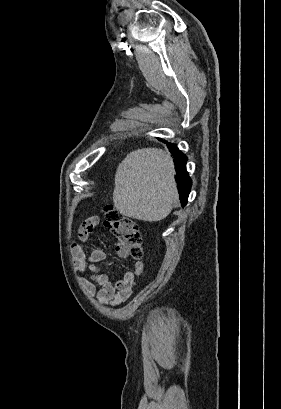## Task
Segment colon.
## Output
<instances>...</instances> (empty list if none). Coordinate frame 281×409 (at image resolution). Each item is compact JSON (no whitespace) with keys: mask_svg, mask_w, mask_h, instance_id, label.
<instances>
[{"mask_svg":"<svg viewBox=\"0 0 281 409\" xmlns=\"http://www.w3.org/2000/svg\"><path fill=\"white\" fill-rule=\"evenodd\" d=\"M104 225L112 233L116 240L130 255H143L142 234L140 227L127 216L112 207L103 208Z\"/></svg>","mask_w":281,"mask_h":409,"instance_id":"5ec220e1","label":"colon"}]
</instances>
